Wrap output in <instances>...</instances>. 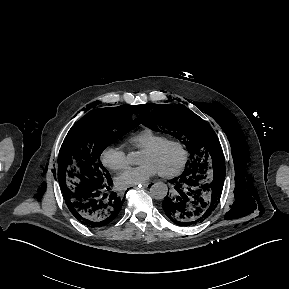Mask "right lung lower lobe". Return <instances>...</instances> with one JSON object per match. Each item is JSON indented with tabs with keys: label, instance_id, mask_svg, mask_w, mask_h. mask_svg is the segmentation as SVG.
Here are the masks:
<instances>
[{
	"label": "right lung lower lobe",
	"instance_id": "98d812e1",
	"mask_svg": "<svg viewBox=\"0 0 289 289\" xmlns=\"http://www.w3.org/2000/svg\"><path fill=\"white\" fill-rule=\"evenodd\" d=\"M111 177L103 184L64 196L68 209L82 224L91 228H100L110 224L118 216L125 196L111 190Z\"/></svg>",
	"mask_w": 289,
	"mask_h": 289
}]
</instances>
